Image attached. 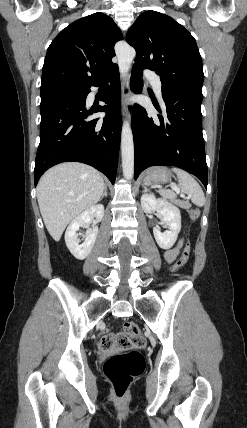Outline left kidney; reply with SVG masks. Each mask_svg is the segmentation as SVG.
Returning <instances> with one entry per match:
<instances>
[{
    "label": "left kidney",
    "instance_id": "obj_1",
    "mask_svg": "<svg viewBox=\"0 0 247 428\" xmlns=\"http://www.w3.org/2000/svg\"><path fill=\"white\" fill-rule=\"evenodd\" d=\"M141 206L145 213L156 211L160 216L161 224L168 227L169 230L162 233L160 227L155 226L153 234L160 248L170 249L181 230L180 210L166 199L156 198L153 194H143Z\"/></svg>",
    "mask_w": 247,
    "mask_h": 428
}]
</instances>
